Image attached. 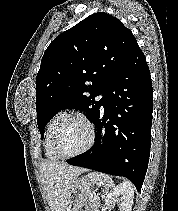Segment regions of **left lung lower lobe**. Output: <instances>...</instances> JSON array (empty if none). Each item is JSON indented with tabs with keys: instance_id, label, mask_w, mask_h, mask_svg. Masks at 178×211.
<instances>
[{
	"instance_id": "obj_1",
	"label": "left lung lower lobe",
	"mask_w": 178,
	"mask_h": 211,
	"mask_svg": "<svg viewBox=\"0 0 178 211\" xmlns=\"http://www.w3.org/2000/svg\"><path fill=\"white\" fill-rule=\"evenodd\" d=\"M102 106L95 145L66 162L124 176L140 191L150 156L153 88L138 45L105 89Z\"/></svg>"
}]
</instances>
